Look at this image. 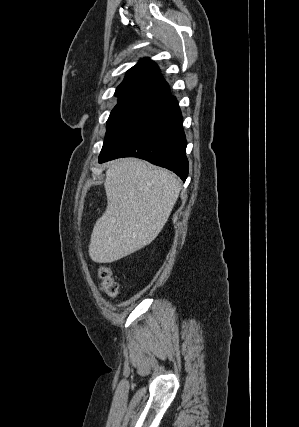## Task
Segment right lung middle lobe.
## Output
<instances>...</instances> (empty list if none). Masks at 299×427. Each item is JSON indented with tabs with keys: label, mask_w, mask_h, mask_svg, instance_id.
<instances>
[{
	"label": "right lung middle lobe",
	"mask_w": 299,
	"mask_h": 427,
	"mask_svg": "<svg viewBox=\"0 0 299 427\" xmlns=\"http://www.w3.org/2000/svg\"><path fill=\"white\" fill-rule=\"evenodd\" d=\"M154 104L150 101L120 99L108 118L107 131L101 153L108 150L127 133Z\"/></svg>",
	"instance_id": "1"
}]
</instances>
